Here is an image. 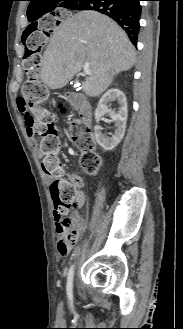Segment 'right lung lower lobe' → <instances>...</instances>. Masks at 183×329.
Instances as JSON below:
<instances>
[{"label": "right lung lower lobe", "instance_id": "1", "mask_svg": "<svg viewBox=\"0 0 183 329\" xmlns=\"http://www.w3.org/2000/svg\"><path fill=\"white\" fill-rule=\"evenodd\" d=\"M140 0H72L67 9L95 10L115 20L128 34L136 46L140 29Z\"/></svg>", "mask_w": 183, "mask_h": 329}]
</instances>
